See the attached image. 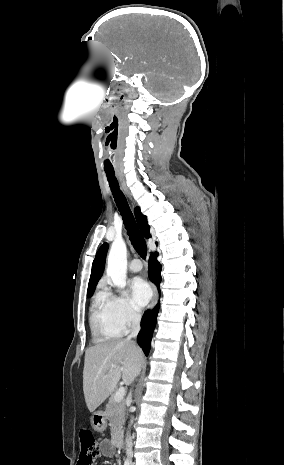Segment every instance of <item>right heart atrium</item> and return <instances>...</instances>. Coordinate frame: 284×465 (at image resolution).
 Instances as JSON below:
<instances>
[{"instance_id":"d8ad5b80","label":"right heart atrium","mask_w":284,"mask_h":465,"mask_svg":"<svg viewBox=\"0 0 284 465\" xmlns=\"http://www.w3.org/2000/svg\"><path fill=\"white\" fill-rule=\"evenodd\" d=\"M98 298L103 299L108 304L116 322L124 330H129L139 323L141 313L123 297L115 296L108 291H101Z\"/></svg>"}]
</instances>
